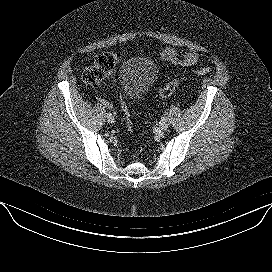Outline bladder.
Segmentation results:
<instances>
[{"instance_id": "1", "label": "bladder", "mask_w": 272, "mask_h": 272, "mask_svg": "<svg viewBox=\"0 0 272 272\" xmlns=\"http://www.w3.org/2000/svg\"><path fill=\"white\" fill-rule=\"evenodd\" d=\"M156 77L155 64L144 57H135L126 61L118 73L122 93L133 100L145 95L154 85Z\"/></svg>"}]
</instances>
